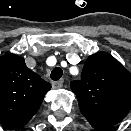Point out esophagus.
Wrapping results in <instances>:
<instances>
[{
	"label": "esophagus",
	"mask_w": 131,
	"mask_h": 131,
	"mask_svg": "<svg viewBox=\"0 0 131 131\" xmlns=\"http://www.w3.org/2000/svg\"><path fill=\"white\" fill-rule=\"evenodd\" d=\"M62 87H63V84L60 81H55V82L52 83L53 89H59V88H62Z\"/></svg>",
	"instance_id": "esophagus-1"
}]
</instances>
